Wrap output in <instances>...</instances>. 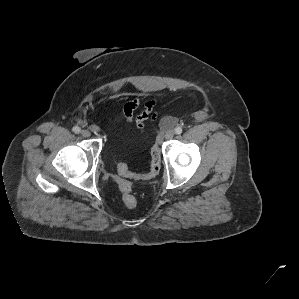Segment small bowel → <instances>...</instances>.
I'll list each match as a JSON object with an SVG mask.
<instances>
[{
    "label": "small bowel",
    "instance_id": "c3829d8e",
    "mask_svg": "<svg viewBox=\"0 0 299 299\" xmlns=\"http://www.w3.org/2000/svg\"><path fill=\"white\" fill-rule=\"evenodd\" d=\"M140 104V99H133L125 104L122 113L127 123L135 122L137 129L139 131H143L145 128V123L148 120L154 121L158 117V113L156 111L157 102L153 99L147 100L144 104V109L135 116V111Z\"/></svg>",
    "mask_w": 299,
    "mask_h": 299
}]
</instances>
